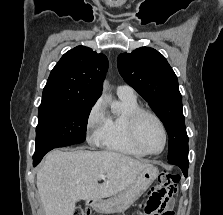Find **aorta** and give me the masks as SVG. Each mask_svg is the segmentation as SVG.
I'll list each match as a JSON object with an SVG mask.
<instances>
[{"instance_id": "762f6f07", "label": "aorta", "mask_w": 223, "mask_h": 215, "mask_svg": "<svg viewBox=\"0 0 223 215\" xmlns=\"http://www.w3.org/2000/svg\"><path fill=\"white\" fill-rule=\"evenodd\" d=\"M107 84H108V82H107V80H105V82H104V84H103V90H104V92H105V90H106V88H107ZM111 108H112V109L115 108V102H113V104H111Z\"/></svg>"}]
</instances>
